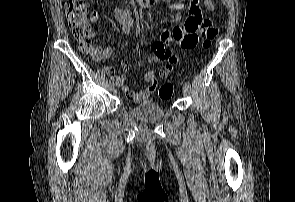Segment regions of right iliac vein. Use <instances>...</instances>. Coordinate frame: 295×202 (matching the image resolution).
I'll list each match as a JSON object with an SVG mask.
<instances>
[{
    "label": "right iliac vein",
    "mask_w": 295,
    "mask_h": 202,
    "mask_svg": "<svg viewBox=\"0 0 295 202\" xmlns=\"http://www.w3.org/2000/svg\"><path fill=\"white\" fill-rule=\"evenodd\" d=\"M108 88L114 90L115 89V85L113 83H108Z\"/></svg>",
    "instance_id": "right-iliac-vein-1"
}]
</instances>
